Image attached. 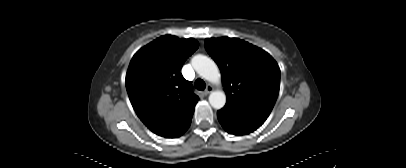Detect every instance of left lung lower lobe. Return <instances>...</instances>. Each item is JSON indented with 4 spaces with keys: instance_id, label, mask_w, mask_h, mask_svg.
I'll list each match as a JSON object with an SVG mask.
<instances>
[{
    "instance_id": "0a47b994",
    "label": "left lung lower lobe",
    "mask_w": 406,
    "mask_h": 168,
    "mask_svg": "<svg viewBox=\"0 0 406 168\" xmlns=\"http://www.w3.org/2000/svg\"><path fill=\"white\" fill-rule=\"evenodd\" d=\"M217 117L223 128L234 135L249 134L259 128L266 120L229 107L219 110Z\"/></svg>"
}]
</instances>
